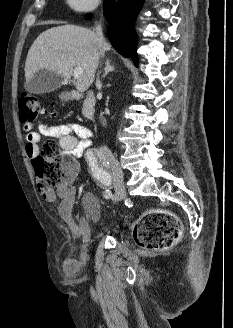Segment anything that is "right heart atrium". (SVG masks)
Instances as JSON below:
<instances>
[{
	"instance_id": "1",
	"label": "right heart atrium",
	"mask_w": 233,
	"mask_h": 328,
	"mask_svg": "<svg viewBox=\"0 0 233 328\" xmlns=\"http://www.w3.org/2000/svg\"><path fill=\"white\" fill-rule=\"evenodd\" d=\"M68 6L79 13H89L95 11L101 0H66Z\"/></svg>"
}]
</instances>
